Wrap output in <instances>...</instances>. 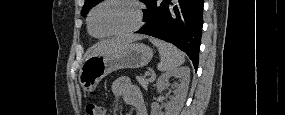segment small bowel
<instances>
[{
	"label": "small bowel",
	"instance_id": "small-bowel-1",
	"mask_svg": "<svg viewBox=\"0 0 285 115\" xmlns=\"http://www.w3.org/2000/svg\"><path fill=\"white\" fill-rule=\"evenodd\" d=\"M112 92L135 110V115H147V108L140 89L126 77H119L112 83Z\"/></svg>",
	"mask_w": 285,
	"mask_h": 115
}]
</instances>
